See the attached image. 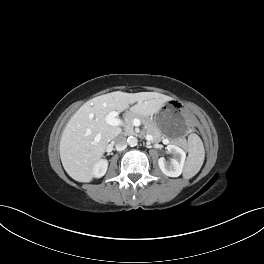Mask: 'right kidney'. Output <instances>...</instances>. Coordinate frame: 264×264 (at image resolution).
Returning <instances> with one entry per match:
<instances>
[{
  "label": "right kidney",
  "instance_id": "obj_1",
  "mask_svg": "<svg viewBox=\"0 0 264 264\" xmlns=\"http://www.w3.org/2000/svg\"><path fill=\"white\" fill-rule=\"evenodd\" d=\"M108 168V161L101 159L93 167V175L96 178H100L105 175Z\"/></svg>",
  "mask_w": 264,
  "mask_h": 264
}]
</instances>
